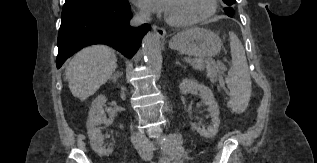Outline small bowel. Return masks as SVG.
<instances>
[{
    "mask_svg": "<svg viewBox=\"0 0 317 163\" xmlns=\"http://www.w3.org/2000/svg\"><path fill=\"white\" fill-rule=\"evenodd\" d=\"M186 161V158L183 157L180 160H177L175 163H184ZM159 163H170V158L168 156H164Z\"/></svg>",
    "mask_w": 317,
    "mask_h": 163,
    "instance_id": "c3829d8e",
    "label": "small bowel"
}]
</instances>
